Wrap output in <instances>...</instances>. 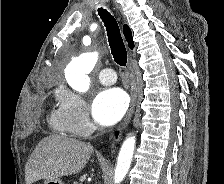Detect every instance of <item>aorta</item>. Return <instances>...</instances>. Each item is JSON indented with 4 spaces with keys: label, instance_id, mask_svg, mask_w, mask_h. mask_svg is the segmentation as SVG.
Here are the masks:
<instances>
[{
    "label": "aorta",
    "instance_id": "obj_1",
    "mask_svg": "<svg viewBox=\"0 0 224 184\" xmlns=\"http://www.w3.org/2000/svg\"><path fill=\"white\" fill-rule=\"evenodd\" d=\"M98 60L97 52H89L71 60L65 69L68 84L78 92H85L90 87L88 74L94 69ZM135 136L125 139L120 149L114 171V184H120L129 171L135 148Z\"/></svg>",
    "mask_w": 224,
    "mask_h": 184
}]
</instances>
